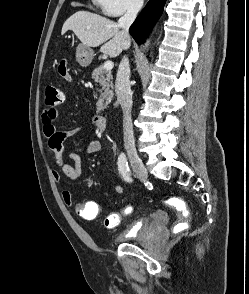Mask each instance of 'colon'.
Segmentation results:
<instances>
[{
	"label": "colon",
	"instance_id": "obj_1",
	"mask_svg": "<svg viewBox=\"0 0 249 294\" xmlns=\"http://www.w3.org/2000/svg\"><path fill=\"white\" fill-rule=\"evenodd\" d=\"M58 71H59V74L61 76L63 75H66L67 74V62L65 60H63L60 65H59V68H58ZM62 99H63V93L61 91L60 88L56 87V86H53V85H48L46 87V91H45V104L48 105V106H51V107H54V106H57L59 105L61 102H62ZM179 206L181 207H185L186 206V203L183 202V201H178L176 202ZM75 210H76V213L81 216L83 215L86 210L84 209V206L81 204H77L75 206ZM99 206L98 208L96 209H93V210H89L87 211L86 213L90 216V217H93L95 215V213H99ZM115 224H116V220H114ZM187 227V223L186 222H180L179 224H177L176 228L178 230H183Z\"/></svg>",
	"mask_w": 249,
	"mask_h": 294
}]
</instances>
